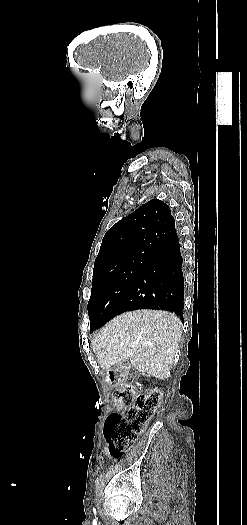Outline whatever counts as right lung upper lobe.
<instances>
[{"instance_id": "1", "label": "right lung upper lobe", "mask_w": 247, "mask_h": 525, "mask_svg": "<svg viewBox=\"0 0 247 525\" xmlns=\"http://www.w3.org/2000/svg\"><path fill=\"white\" fill-rule=\"evenodd\" d=\"M168 205L152 199L114 224L104 235L93 272L126 268L176 236Z\"/></svg>"}]
</instances>
